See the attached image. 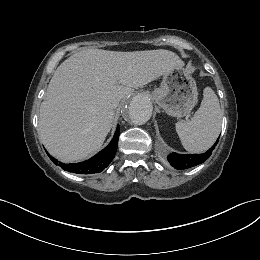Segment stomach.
<instances>
[{
    "mask_svg": "<svg viewBox=\"0 0 260 260\" xmlns=\"http://www.w3.org/2000/svg\"><path fill=\"white\" fill-rule=\"evenodd\" d=\"M155 102L170 116L183 117L197 103V86L191 76L179 69L163 75L161 86L153 91Z\"/></svg>",
    "mask_w": 260,
    "mask_h": 260,
    "instance_id": "1",
    "label": "stomach"
}]
</instances>
